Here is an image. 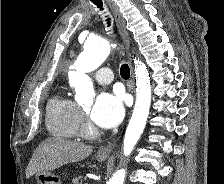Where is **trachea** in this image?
Instances as JSON below:
<instances>
[{
    "mask_svg": "<svg viewBox=\"0 0 224 184\" xmlns=\"http://www.w3.org/2000/svg\"><path fill=\"white\" fill-rule=\"evenodd\" d=\"M97 8L103 10V3L102 0H91ZM107 24L110 26V18H107ZM120 75L123 79H129L130 77V68L127 64H122L120 68Z\"/></svg>",
    "mask_w": 224,
    "mask_h": 184,
    "instance_id": "1",
    "label": "trachea"
}]
</instances>
